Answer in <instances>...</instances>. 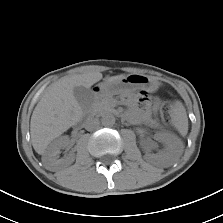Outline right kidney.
Segmentation results:
<instances>
[{
  "instance_id": "right-kidney-1",
  "label": "right kidney",
  "mask_w": 223,
  "mask_h": 223,
  "mask_svg": "<svg viewBox=\"0 0 223 223\" xmlns=\"http://www.w3.org/2000/svg\"><path fill=\"white\" fill-rule=\"evenodd\" d=\"M68 143L69 138L67 136H62L50 144L42 157V162L48 169H52L58 165H70L73 163L74 156L72 154L65 158H58L61 150L64 149Z\"/></svg>"
}]
</instances>
